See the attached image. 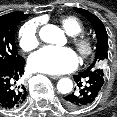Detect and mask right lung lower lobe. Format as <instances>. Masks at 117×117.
Masks as SVG:
<instances>
[{
	"label": "right lung lower lobe",
	"instance_id": "obj_1",
	"mask_svg": "<svg viewBox=\"0 0 117 117\" xmlns=\"http://www.w3.org/2000/svg\"><path fill=\"white\" fill-rule=\"evenodd\" d=\"M24 58L15 63H0V109H15L26 98V91L18 80L24 73Z\"/></svg>",
	"mask_w": 117,
	"mask_h": 117
}]
</instances>
